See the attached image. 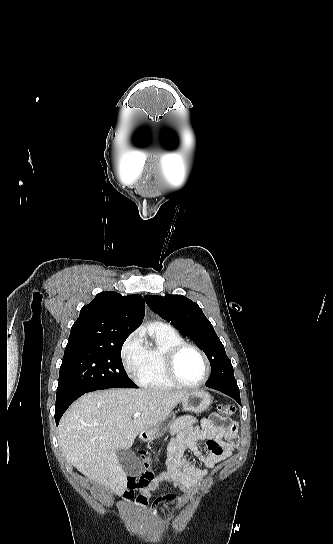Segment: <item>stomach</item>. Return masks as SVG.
Wrapping results in <instances>:
<instances>
[{"label": "stomach", "instance_id": "1", "mask_svg": "<svg viewBox=\"0 0 333 544\" xmlns=\"http://www.w3.org/2000/svg\"><path fill=\"white\" fill-rule=\"evenodd\" d=\"M183 410L187 412L200 413L209 408L212 403L211 395L204 391L189 392L182 399ZM175 414L170 415L166 419L159 422L156 426L145 430L144 437L147 440L162 436L167 429L174 423Z\"/></svg>", "mask_w": 333, "mask_h": 544}]
</instances>
